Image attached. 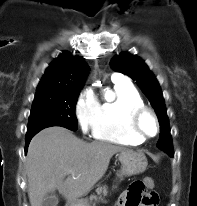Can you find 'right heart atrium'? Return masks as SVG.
I'll return each mask as SVG.
<instances>
[{"label": "right heart atrium", "mask_w": 197, "mask_h": 206, "mask_svg": "<svg viewBox=\"0 0 197 206\" xmlns=\"http://www.w3.org/2000/svg\"><path fill=\"white\" fill-rule=\"evenodd\" d=\"M99 112V102L91 89L84 90L75 107V115L83 133L93 128Z\"/></svg>", "instance_id": "d8ad5b80"}]
</instances>
